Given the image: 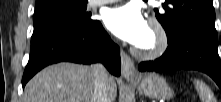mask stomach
<instances>
[{"instance_id": "obj_1", "label": "stomach", "mask_w": 221, "mask_h": 102, "mask_svg": "<svg viewBox=\"0 0 221 102\" xmlns=\"http://www.w3.org/2000/svg\"><path fill=\"white\" fill-rule=\"evenodd\" d=\"M131 82L138 87L141 94L149 98L169 100L174 95L166 80L158 74H147Z\"/></svg>"}]
</instances>
